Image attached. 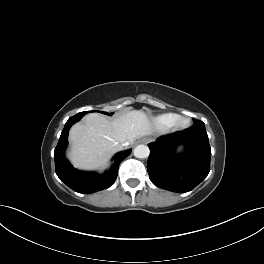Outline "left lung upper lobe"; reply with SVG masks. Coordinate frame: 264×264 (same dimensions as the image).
<instances>
[{"mask_svg": "<svg viewBox=\"0 0 264 264\" xmlns=\"http://www.w3.org/2000/svg\"><path fill=\"white\" fill-rule=\"evenodd\" d=\"M194 123L197 124V123H203V122L200 121V120H196V119H194Z\"/></svg>", "mask_w": 264, "mask_h": 264, "instance_id": "1", "label": "left lung upper lobe"}]
</instances>
